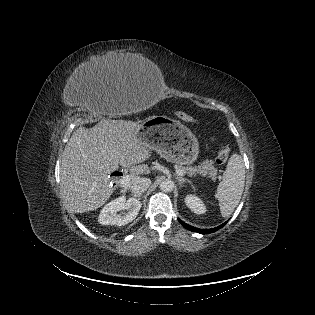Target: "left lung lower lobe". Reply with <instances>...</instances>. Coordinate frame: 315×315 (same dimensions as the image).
Masks as SVG:
<instances>
[{
  "label": "left lung lower lobe",
  "instance_id": "left-lung-lower-lobe-1",
  "mask_svg": "<svg viewBox=\"0 0 315 315\" xmlns=\"http://www.w3.org/2000/svg\"><path fill=\"white\" fill-rule=\"evenodd\" d=\"M179 221H180V223H181L186 229H188V230H190V231H193V232H198V233H201V234L213 233V232L219 230L220 228H222V227L227 223V221H226L225 223L221 224L220 226L215 227V228H212V229H199V228H195V227H193V226H190V225L184 223V222L181 221V220H179Z\"/></svg>",
  "mask_w": 315,
  "mask_h": 315
}]
</instances>
